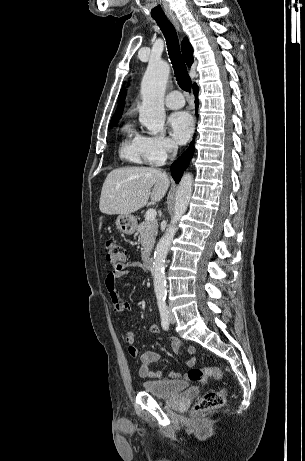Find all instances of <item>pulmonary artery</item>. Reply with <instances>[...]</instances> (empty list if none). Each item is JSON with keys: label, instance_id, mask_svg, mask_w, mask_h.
<instances>
[{"label": "pulmonary artery", "instance_id": "e3ab8cb5", "mask_svg": "<svg viewBox=\"0 0 305 461\" xmlns=\"http://www.w3.org/2000/svg\"><path fill=\"white\" fill-rule=\"evenodd\" d=\"M185 100L179 91H172L167 94L165 104L168 108L178 109L184 106Z\"/></svg>", "mask_w": 305, "mask_h": 461}]
</instances>
